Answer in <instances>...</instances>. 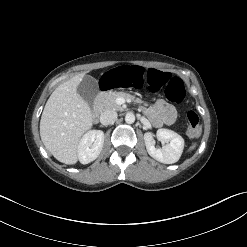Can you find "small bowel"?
<instances>
[{"label":"small bowel","mask_w":247,"mask_h":247,"mask_svg":"<svg viewBox=\"0 0 247 247\" xmlns=\"http://www.w3.org/2000/svg\"><path fill=\"white\" fill-rule=\"evenodd\" d=\"M148 114L156 126H161L162 124L170 125L176 118L174 107L162 99L158 100L148 109Z\"/></svg>","instance_id":"small-bowel-1"}]
</instances>
